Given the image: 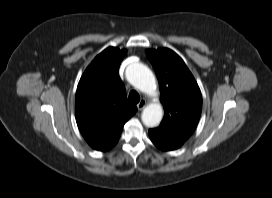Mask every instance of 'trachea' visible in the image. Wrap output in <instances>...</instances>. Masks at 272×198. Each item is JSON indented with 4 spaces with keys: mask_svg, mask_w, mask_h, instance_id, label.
<instances>
[{
    "mask_svg": "<svg viewBox=\"0 0 272 198\" xmlns=\"http://www.w3.org/2000/svg\"><path fill=\"white\" fill-rule=\"evenodd\" d=\"M129 100H130V102H132L134 104L138 103L140 101V96H139L138 92L135 90L130 91Z\"/></svg>",
    "mask_w": 272,
    "mask_h": 198,
    "instance_id": "obj_1",
    "label": "trachea"
}]
</instances>
